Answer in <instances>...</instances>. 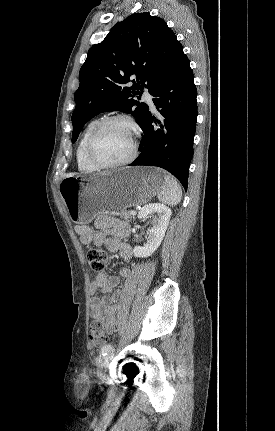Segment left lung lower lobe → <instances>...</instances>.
Masks as SVG:
<instances>
[{
	"instance_id": "obj_1",
	"label": "left lung lower lobe",
	"mask_w": 275,
	"mask_h": 431,
	"mask_svg": "<svg viewBox=\"0 0 275 431\" xmlns=\"http://www.w3.org/2000/svg\"><path fill=\"white\" fill-rule=\"evenodd\" d=\"M151 95L161 116L157 119L148 111L140 126L144 133L139 146L141 153L129 166L161 167L173 174L186 190L197 122V90L182 45L176 48Z\"/></svg>"
}]
</instances>
